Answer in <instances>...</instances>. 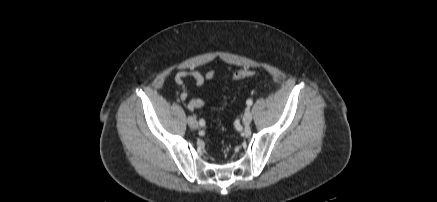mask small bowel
<instances>
[{
	"mask_svg": "<svg viewBox=\"0 0 437 202\" xmlns=\"http://www.w3.org/2000/svg\"><path fill=\"white\" fill-rule=\"evenodd\" d=\"M214 75H215L214 71L207 72L205 76L197 71H192V72L180 71L176 74L175 82L182 87V91L179 95V99L181 102L185 104V107L189 111H194L195 109L204 107L209 102V98L208 99L194 98L188 100V91L185 86V80L192 79L194 80V82L198 87H201L204 85L205 80L213 79Z\"/></svg>",
	"mask_w": 437,
	"mask_h": 202,
	"instance_id": "1",
	"label": "small bowel"
}]
</instances>
